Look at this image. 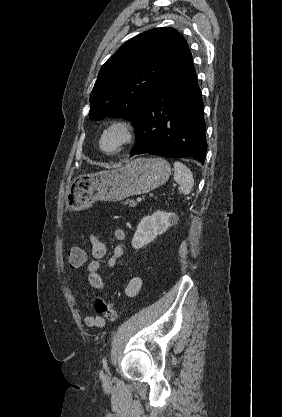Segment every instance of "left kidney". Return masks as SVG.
<instances>
[{
    "label": "left kidney",
    "instance_id": "1",
    "mask_svg": "<svg viewBox=\"0 0 282 417\" xmlns=\"http://www.w3.org/2000/svg\"><path fill=\"white\" fill-rule=\"evenodd\" d=\"M178 221L179 217L176 213H164V211H155L150 217H143L132 239L133 249H142L154 241L157 235H162L169 227L177 225Z\"/></svg>",
    "mask_w": 282,
    "mask_h": 417
}]
</instances>
